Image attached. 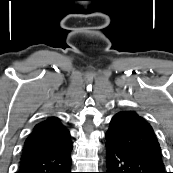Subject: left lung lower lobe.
I'll use <instances>...</instances> for the list:
<instances>
[{"instance_id":"0a47b994","label":"left lung lower lobe","mask_w":173,"mask_h":173,"mask_svg":"<svg viewBox=\"0 0 173 173\" xmlns=\"http://www.w3.org/2000/svg\"><path fill=\"white\" fill-rule=\"evenodd\" d=\"M105 173H166L164 163L149 156L124 151L106 144Z\"/></svg>"}]
</instances>
